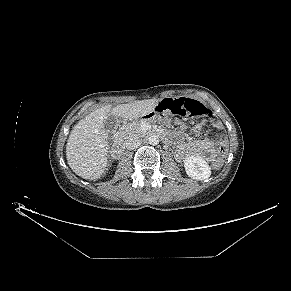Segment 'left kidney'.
Returning <instances> with one entry per match:
<instances>
[{"mask_svg":"<svg viewBox=\"0 0 291 291\" xmlns=\"http://www.w3.org/2000/svg\"><path fill=\"white\" fill-rule=\"evenodd\" d=\"M187 175L195 180H205L211 175V168L200 156H189L184 160Z\"/></svg>","mask_w":291,"mask_h":291,"instance_id":"obj_1","label":"left kidney"}]
</instances>
